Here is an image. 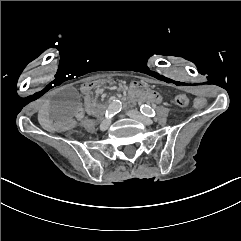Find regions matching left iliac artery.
<instances>
[{
  "label": "left iliac artery",
  "mask_w": 241,
  "mask_h": 241,
  "mask_svg": "<svg viewBox=\"0 0 241 241\" xmlns=\"http://www.w3.org/2000/svg\"><path fill=\"white\" fill-rule=\"evenodd\" d=\"M140 111H141L142 114H144L145 116H148V117H154L156 115L155 110L152 109L148 105H142L140 107Z\"/></svg>",
  "instance_id": "left-iliac-artery-1"
}]
</instances>
